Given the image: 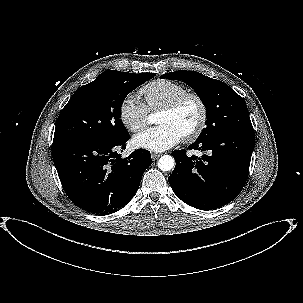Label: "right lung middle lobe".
I'll return each instance as SVG.
<instances>
[{
    "instance_id": "1",
    "label": "right lung middle lobe",
    "mask_w": 303,
    "mask_h": 303,
    "mask_svg": "<svg viewBox=\"0 0 303 303\" xmlns=\"http://www.w3.org/2000/svg\"><path fill=\"white\" fill-rule=\"evenodd\" d=\"M155 76L109 70L80 87L61 110L54 140L86 139L110 142L128 136L120 120L121 106L135 88Z\"/></svg>"
}]
</instances>
